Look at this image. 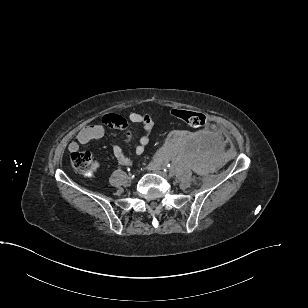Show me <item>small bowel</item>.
Returning <instances> with one entry per match:
<instances>
[{"label":"small bowel","mask_w":308,"mask_h":308,"mask_svg":"<svg viewBox=\"0 0 308 308\" xmlns=\"http://www.w3.org/2000/svg\"><path fill=\"white\" fill-rule=\"evenodd\" d=\"M129 122L139 125L143 131L135 146V154L140 156L144 153L150 141V135L154 128V121L148 113H138L135 111L130 112L127 119L116 114L104 115L100 124L89 125L81 129L76 136V140L69 144L68 150L70 152L76 151L79 149L80 145L103 138L108 129L123 131L125 133L124 144H129L133 139V133L130 129ZM113 155L122 166H130L132 164V160L125 155L120 146H115L113 148ZM98 167L99 165L97 163L93 166L94 170H97Z\"/></svg>","instance_id":"small-bowel-1"}]
</instances>
